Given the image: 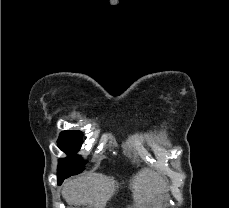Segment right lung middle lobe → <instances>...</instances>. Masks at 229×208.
<instances>
[{
	"label": "right lung middle lobe",
	"mask_w": 229,
	"mask_h": 208,
	"mask_svg": "<svg viewBox=\"0 0 229 208\" xmlns=\"http://www.w3.org/2000/svg\"><path fill=\"white\" fill-rule=\"evenodd\" d=\"M82 132L81 131H63L58 140V147L65 152L68 157L59 160L58 177H69L78 174L84 170L85 161L76 155L82 145Z\"/></svg>",
	"instance_id": "1"
}]
</instances>
